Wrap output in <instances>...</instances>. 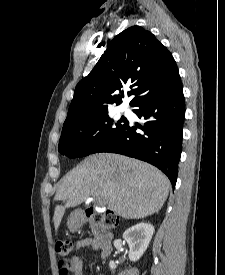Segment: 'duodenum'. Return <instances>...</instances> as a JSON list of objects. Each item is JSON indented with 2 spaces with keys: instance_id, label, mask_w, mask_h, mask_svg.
<instances>
[{
  "instance_id": "duodenum-1",
  "label": "duodenum",
  "mask_w": 225,
  "mask_h": 275,
  "mask_svg": "<svg viewBox=\"0 0 225 275\" xmlns=\"http://www.w3.org/2000/svg\"><path fill=\"white\" fill-rule=\"evenodd\" d=\"M76 214L82 223H87L90 220L89 215L84 210L78 211ZM97 242L101 258H108L113 250V234L97 228Z\"/></svg>"
}]
</instances>
